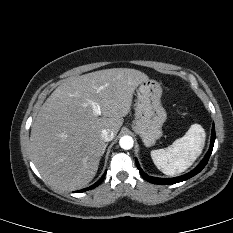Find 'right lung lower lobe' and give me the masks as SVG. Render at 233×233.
I'll list each match as a JSON object with an SVG mask.
<instances>
[{"instance_id":"right-lung-lower-lobe-1","label":"right lung lower lobe","mask_w":233,"mask_h":233,"mask_svg":"<svg viewBox=\"0 0 233 233\" xmlns=\"http://www.w3.org/2000/svg\"><path fill=\"white\" fill-rule=\"evenodd\" d=\"M104 177H105V175L99 181H97L94 185H92V186H90L88 188L82 189V190H80L78 192L87 191V190H90V189H93V188L97 187L102 182V180L104 179Z\"/></svg>"}]
</instances>
